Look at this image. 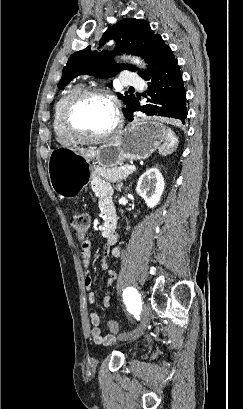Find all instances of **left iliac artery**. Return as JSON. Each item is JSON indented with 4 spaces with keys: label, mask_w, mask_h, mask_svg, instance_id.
I'll use <instances>...</instances> for the list:
<instances>
[{
    "label": "left iliac artery",
    "mask_w": 243,
    "mask_h": 409,
    "mask_svg": "<svg viewBox=\"0 0 243 409\" xmlns=\"http://www.w3.org/2000/svg\"><path fill=\"white\" fill-rule=\"evenodd\" d=\"M129 290H130V292L135 291V290H133V289H131V288H128V290H126L125 293H124L125 298H126V293H127ZM129 298H131V301L133 302L134 308H135V309L138 308L139 305H140V300H139V299H134V298H132V296L129 297Z\"/></svg>",
    "instance_id": "left-iliac-artery-1"
}]
</instances>
